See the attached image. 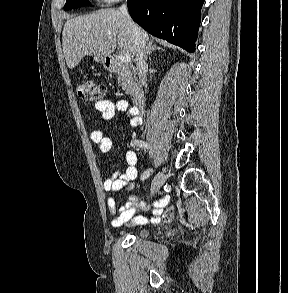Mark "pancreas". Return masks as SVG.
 Returning a JSON list of instances; mask_svg holds the SVG:
<instances>
[{"label":"pancreas","mask_w":288,"mask_h":293,"mask_svg":"<svg viewBox=\"0 0 288 293\" xmlns=\"http://www.w3.org/2000/svg\"><path fill=\"white\" fill-rule=\"evenodd\" d=\"M118 65V83L126 94L133 95L137 86L135 68L133 65L121 61L118 63Z\"/></svg>","instance_id":"pancreas-1"}]
</instances>
